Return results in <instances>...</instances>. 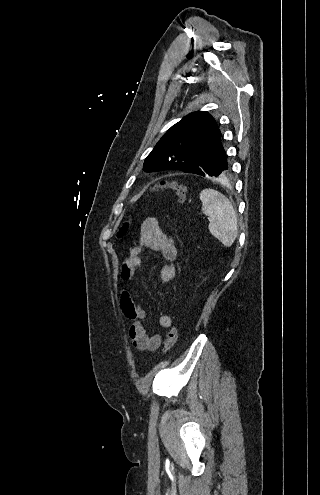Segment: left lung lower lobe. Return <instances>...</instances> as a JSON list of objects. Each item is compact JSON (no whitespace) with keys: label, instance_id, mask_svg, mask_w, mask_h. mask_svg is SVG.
<instances>
[{"label":"left lung lower lobe","instance_id":"obj_1","mask_svg":"<svg viewBox=\"0 0 320 495\" xmlns=\"http://www.w3.org/2000/svg\"><path fill=\"white\" fill-rule=\"evenodd\" d=\"M231 164L221 143V140L215 147L201 157V159L191 167L187 168L186 173H193L200 176L225 177L231 172Z\"/></svg>","mask_w":320,"mask_h":495}]
</instances>
